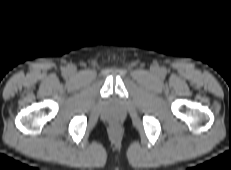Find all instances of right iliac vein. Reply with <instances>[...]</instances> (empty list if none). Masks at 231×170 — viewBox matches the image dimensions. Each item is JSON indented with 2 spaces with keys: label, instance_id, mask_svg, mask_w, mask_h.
<instances>
[{
  "label": "right iliac vein",
  "instance_id": "right-iliac-vein-1",
  "mask_svg": "<svg viewBox=\"0 0 231 170\" xmlns=\"http://www.w3.org/2000/svg\"><path fill=\"white\" fill-rule=\"evenodd\" d=\"M67 72L71 75H73L76 72V68L74 66H69L67 68Z\"/></svg>",
  "mask_w": 231,
  "mask_h": 170
}]
</instances>
